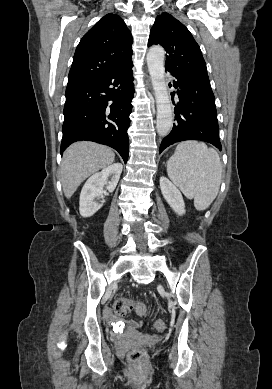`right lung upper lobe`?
Instances as JSON below:
<instances>
[{"label":"right lung upper lobe","mask_w":272,"mask_h":389,"mask_svg":"<svg viewBox=\"0 0 272 389\" xmlns=\"http://www.w3.org/2000/svg\"><path fill=\"white\" fill-rule=\"evenodd\" d=\"M132 35L115 14L100 19L78 44L68 80L98 75L131 60Z\"/></svg>","instance_id":"right-lung-upper-lobe-1"}]
</instances>
